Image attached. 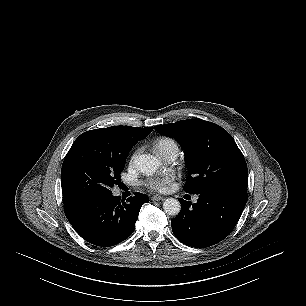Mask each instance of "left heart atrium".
<instances>
[{
    "instance_id": "left-heart-atrium-1",
    "label": "left heart atrium",
    "mask_w": 306,
    "mask_h": 306,
    "mask_svg": "<svg viewBox=\"0 0 306 306\" xmlns=\"http://www.w3.org/2000/svg\"><path fill=\"white\" fill-rule=\"evenodd\" d=\"M175 181V175L172 173H167L164 175H154L149 177L144 185L157 192H165L170 189L173 182Z\"/></svg>"
}]
</instances>
